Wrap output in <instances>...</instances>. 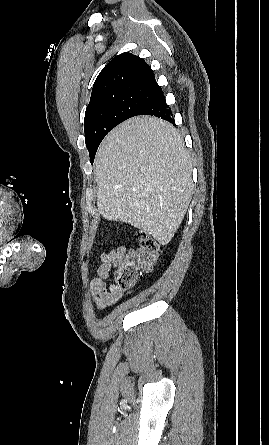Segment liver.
Here are the masks:
<instances>
[{
  "label": "liver",
  "mask_w": 269,
  "mask_h": 445,
  "mask_svg": "<svg viewBox=\"0 0 269 445\" xmlns=\"http://www.w3.org/2000/svg\"><path fill=\"white\" fill-rule=\"evenodd\" d=\"M97 207L166 245L192 198V163L179 131L150 116L133 117L102 141L94 166Z\"/></svg>",
  "instance_id": "liver-1"
}]
</instances>
